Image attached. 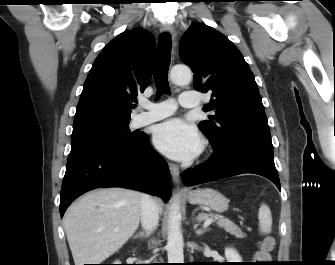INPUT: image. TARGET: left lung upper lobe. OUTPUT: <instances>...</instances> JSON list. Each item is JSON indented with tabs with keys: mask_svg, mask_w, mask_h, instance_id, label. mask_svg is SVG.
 Returning <instances> with one entry per match:
<instances>
[{
	"mask_svg": "<svg viewBox=\"0 0 335 265\" xmlns=\"http://www.w3.org/2000/svg\"><path fill=\"white\" fill-rule=\"evenodd\" d=\"M180 53L194 72V88L211 93L204 109L215 115L199 128L212 146L251 141L273 147L257 83L238 48L214 28L196 23L184 34Z\"/></svg>",
	"mask_w": 335,
	"mask_h": 265,
	"instance_id": "obj_1",
	"label": "left lung upper lobe"
}]
</instances>
